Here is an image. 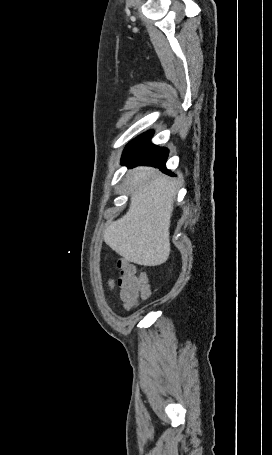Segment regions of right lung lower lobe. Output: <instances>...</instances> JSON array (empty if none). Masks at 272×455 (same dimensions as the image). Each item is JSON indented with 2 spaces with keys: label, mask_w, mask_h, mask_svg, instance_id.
I'll return each instance as SVG.
<instances>
[{
  "label": "right lung lower lobe",
  "mask_w": 272,
  "mask_h": 455,
  "mask_svg": "<svg viewBox=\"0 0 272 455\" xmlns=\"http://www.w3.org/2000/svg\"><path fill=\"white\" fill-rule=\"evenodd\" d=\"M152 131H149L133 141L125 148L122 155V164L130 168L138 165H150L158 167L165 173L173 175L165 168L168 150L151 143Z\"/></svg>",
  "instance_id": "right-lung-lower-lobe-1"
}]
</instances>
